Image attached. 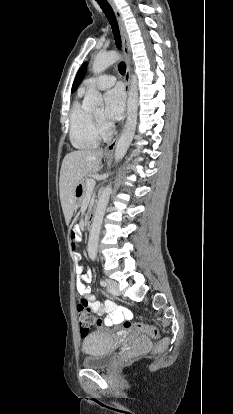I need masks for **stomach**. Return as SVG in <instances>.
I'll use <instances>...</instances> for the list:
<instances>
[{"mask_svg": "<svg viewBox=\"0 0 233 414\" xmlns=\"http://www.w3.org/2000/svg\"><path fill=\"white\" fill-rule=\"evenodd\" d=\"M75 196L76 198H83L84 196V185L83 182H81L75 189Z\"/></svg>", "mask_w": 233, "mask_h": 414, "instance_id": "1", "label": "stomach"}]
</instances>
